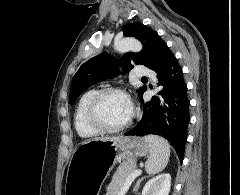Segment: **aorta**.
<instances>
[{"label":"aorta","instance_id":"aorta-1","mask_svg":"<svg viewBox=\"0 0 240 195\" xmlns=\"http://www.w3.org/2000/svg\"><path fill=\"white\" fill-rule=\"evenodd\" d=\"M114 48L117 52H140L142 44L135 38H124L120 42H115Z\"/></svg>","mask_w":240,"mask_h":195}]
</instances>
